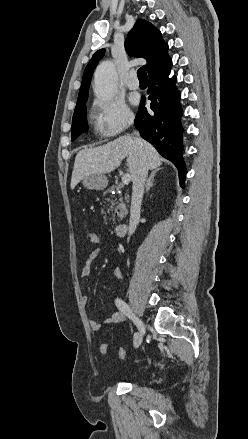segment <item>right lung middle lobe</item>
<instances>
[{"label": "right lung middle lobe", "instance_id": "1", "mask_svg": "<svg viewBox=\"0 0 248 439\" xmlns=\"http://www.w3.org/2000/svg\"><path fill=\"white\" fill-rule=\"evenodd\" d=\"M86 102L74 111L71 128V139L74 141L80 134L88 130Z\"/></svg>", "mask_w": 248, "mask_h": 439}]
</instances>
